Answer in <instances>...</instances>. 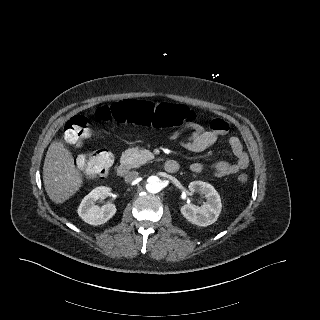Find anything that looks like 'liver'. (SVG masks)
I'll list each match as a JSON object with an SVG mask.
<instances>
[{
  "label": "liver",
  "mask_w": 320,
  "mask_h": 320,
  "mask_svg": "<svg viewBox=\"0 0 320 320\" xmlns=\"http://www.w3.org/2000/svg\"><path fill=\"white\" fill-rule=\"evenodd\" d=\"M43 182L47 195L56 204L68 200L82 185L83 179L71 153L59 142L53 141L48 148Z\"/></svg>",
  "instance_id": "liver-1"
}]
</instances>
